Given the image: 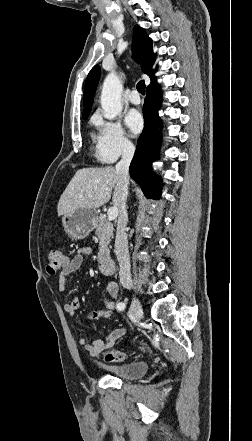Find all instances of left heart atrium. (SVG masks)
Here are the masks:
<instances>
[{
	"label": "left heart atrium",
	"mask_w": 252,
	"mask_h": 441,
	"mask_svg": "<svg viewBox=\"0 0 252 441\" xmlns=\"http://www.w3.org/2000/svg\"><path fill=\"white\" fill-rule=\"evenodd\" d=\"M126 124L133 134H137L143 127V120L137 111H131L126 116Z\"/></svg>",
	"instance_id": "1"
}]
</instances>
